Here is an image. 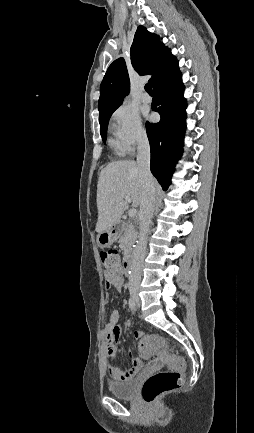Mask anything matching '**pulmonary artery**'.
Here are the masks:
<instances>
[{"instance_id":"obj_1","label":"pulmonary artery","mask_w":254,"mask_h":433,"mask_svg":"<svg viewBox=\"0 0 254 433\" xmlns=\"http://www.w3.org/2000/svg\"><path fill=\"white\" fill-rule=\"evenodd\" d=\"M142 102L145 103V104L150 103V102H151V98H150V96H149L148 94L144 93V94L142 95Z\"/></svg>"}]
</instances>
